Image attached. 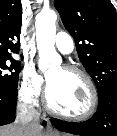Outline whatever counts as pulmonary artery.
Wrapping results in <instances>:
<instances>
[{
    "instance_id": "1",
    "label": "pulmonary artery",
    "mask_w": 117,
    "mask_h": 136,
    "mask_svg": "<svg viewBox=\"0 0 117 136\" xmlns=\"http://www.w3.org/2000/svg\"><path fill=\"white\" fill-rule=\"evenodd\" d=\"M55 46L62 54H70L74 49L72 36L65 32H59L56 35Z\"/></svg>"
}]
</instances>
